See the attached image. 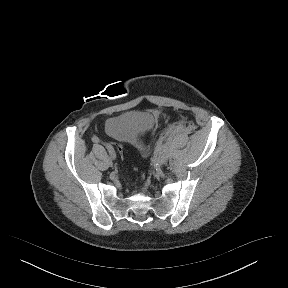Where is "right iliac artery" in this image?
Masks as SVG:
<instances>
[{
	"label": "right iliac artery",
	"instance_id": "82829eb1",
	"mask_svg": "<svg viewBox=\"0 0 288 288\" xmlns=\"http://www.w3.org/2000/svg\"><path fill=\"white\" fill-rule=\"evenodd\" d=\"M92 141L95 142V143H98V142H100V139L97 136H93L92 137ZM104 145L106 146L111 158L115 159L116 158V153H115V150H114L113 146L111 144H109V143H104Z\"/></svg>",
	"mask_w": 288,
	"mask_h": 288
}]
</instances>
